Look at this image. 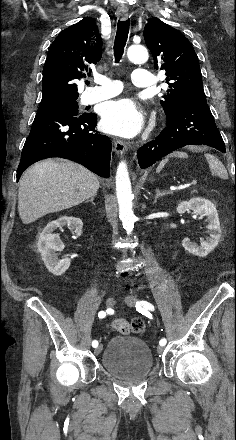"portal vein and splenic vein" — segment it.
<instances>
[{
	"label": "portal vein and splenic vein",
	"mask_w": 236,
	"mask_h": 440,
	"mask_svg": "<svg viewBox=\"0 0 236 440\" xmlns=\"http://www.w3.org/2000/svg\"><path fill=\"white\" fill-rule=\"evenodd\" d=\"M191 184H192V185L197 184V180H193V181L191 182Z\"/></svg>",
	"instance_id": "18ae733b"
}]
</instances>
